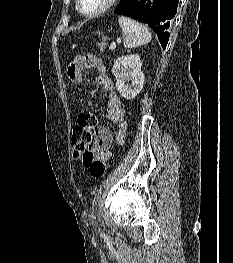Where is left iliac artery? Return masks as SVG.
Listing matches in <instances>:
<instances>
[{"label":"left iliac artery","mask_w":233,"mask_h":263,"mask_svg":"<svg viewBox=\"0 0 233 263\" xmlns=\"http://www.w3.org/2000/svg\"><path fill=\"white\" fill-rule=\"evenodd\" d=\"M92 218H95L94 214H93V211H92Z\"/></svg>","instance_id":"left-iliac-artery-1"}]
</instances>
